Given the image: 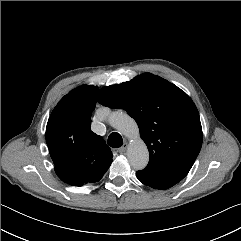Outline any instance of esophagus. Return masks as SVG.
Instances as JSON below:
<instances>
[{"label": "esophagus", "instance_id": "34e87169", "mask_svg": "<svg viewBox=\"0 0 241 241\" xmlns=\"http://www.w3.org/2000/svg\"><path fill=\"white\" fill-rule=\"evenodd\" d=\"M127 147H128V143L125 142L122 147H120L119 149H117V152L120 153V154H122V153H124V152L126 151Z\"/></svg>", "mask_w": 241, "mask_h": 241}]
</instances>
